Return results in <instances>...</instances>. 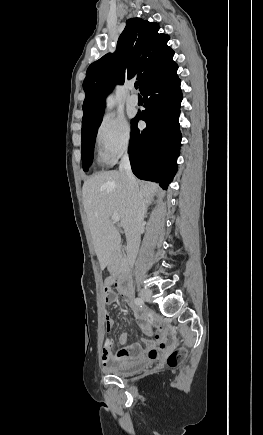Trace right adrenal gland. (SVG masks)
<instances>
[{"instance_id": "obj_1", "label": "right adrenal gland", "mask_w": 263, "mask_h": 435, "mask_svg": "<svg viewBox=\"0 0 263 435\" xmlns=\"http://www.w3.org/2000/svg\"><path fill=\"white\" fill-rule=\"evenodd\" d=\"M151 204H152V200L146 202V204H145V205H146V206H145V207H146V210H147L148 206H150Z\"/></svg>"}]
</instances>
